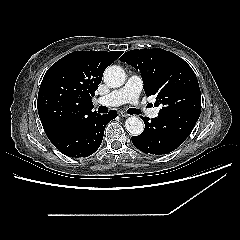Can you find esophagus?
<instances>
[{
  "mask_svg": "<svg viewBox=\"0 0 240 240\" xmlns=\"http://www.w3.org/2000/svg\"><path fill=\"white\" fill-rule=\"evenodd\" d=\"M119 116H120V117H128L129 114H127V113H125V112H123V111H120V112H119Z\"/></svg>",
  "mask_w": 240,
  "mask_h": 240,
  "instance_id": "esophagus-1",
  "label": "esophagus"
}]
</instances>
